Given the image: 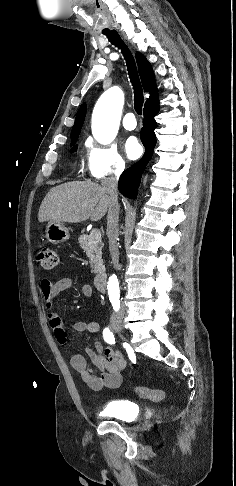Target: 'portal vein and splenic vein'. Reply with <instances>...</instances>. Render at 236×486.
Returning a JSON list of instances; mask_svg holds the SVG:
<instances>
[{
    "label": "portal vein and splenic vein",
    "instance_id": "obj_1",
    "mask_svg": "<svg viewBox=\"0 0 236 486\" xmlns=\"http://www.w3.org/2000/svg\"><path fill=\"white\" fill-rule=\"evenodd\" d=\"M91 235L97 240L101 239V232L97 229L92 230Z\"/></svg>",
    "mask_w": 236,
    "mask_h": 486
}]
</instances>
